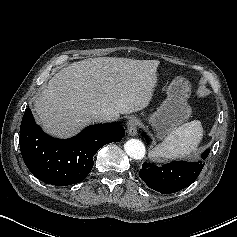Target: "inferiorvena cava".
Wrapping results in <instances>:
<instances>
[{
	"instance_id": "1",
	"label": "inferior vena cava",
	"mask_w": 237,
	"mask_h": 237,
	"mask_svg": "<svg viewBox=\"0 0 237 237\" xmlns=\"http://www.w3.org/2000/svg\"><path fill=\"white\" fill-rule=\"evenodd\" d=\"M94 119L99 122H110V121H115L118 116L113 113V112H95L94 113Z\"/></svg>"
}]
</instances>
